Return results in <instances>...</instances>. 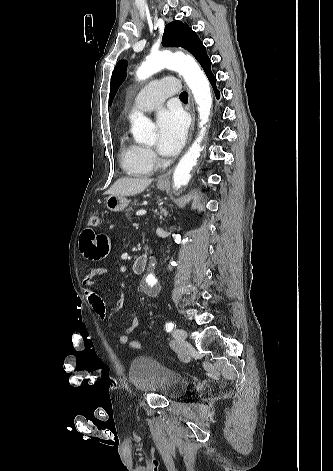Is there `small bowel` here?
<instances>
[{
    "label": "small bowel",
    "instance_id": "small-bowel-1",
    "mask_svg": "<svg viewBox=\"0 0 333 471\" xmlns=\"http://www.w3.org/2000/svg\"><path fill=\"white\" fill-rule=\"evenodd\" d=\"M109 250V241L105 235L96 234L92 228H86L81 235L80 251L83 256L92 264L86 270L83 277V285L86 287L85 296L89 306L93 309L97 317L106 321L108 317L107 308L101 296L92 287L96 281L108 273L107 269L95 264L103 258ZM140 319L133 317L123 334L118 337L122 345L129 343V335L135 332L140 326Z\"/></svg>",
    "mask_w": 333,
    "mask_h": 471
}]
</instances>
